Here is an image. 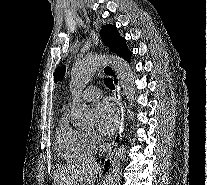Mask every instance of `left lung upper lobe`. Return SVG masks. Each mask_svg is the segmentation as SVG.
I'll use <instances>...</instances> for the list:
<instances>
[{
	"mask_svg": "<svg viewBox=\"0 0 207 185\" xmlns=\"http://www.w3.org/2000/svg\"><path fill=\"white\" fill-rule=\"evenodd\" d=\"M101 39L103 43L109 47V49L120 57L130 60L132 55L131 51L126 47V40L120 36L117 32V28L114 25H105L101 29ZM65 74V66H61L55 73L54 81L63 78Z\"/></svg>",
	"mask_w": 207,
	"mask_h": 185,
	"instance_id": "5c2ea615",
	"label": "left lung upper lobe"
}]
</instances>
